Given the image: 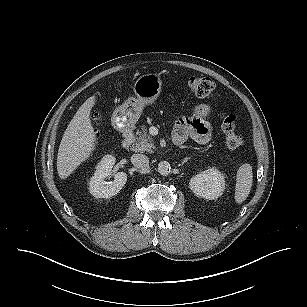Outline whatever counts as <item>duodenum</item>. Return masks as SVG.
<instances>
[{
	"mask_svg": "<svg viewBox=\"0 0 307 307\" xmlns=\"http://www.w3.org/2000/svg\"><path fill=\"white\" fill-rule=\"evenodd\" d=\"M134 141V133L132 130H126L123 133V138L121 145L123 148H128L133 144Z\"/></svg>",
	"mask_w": 307,
	"mask_h": 307,
	"instance_id": "1",
	"label": "duodenum"
}]
</instances>
